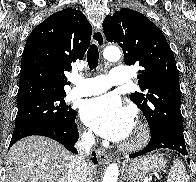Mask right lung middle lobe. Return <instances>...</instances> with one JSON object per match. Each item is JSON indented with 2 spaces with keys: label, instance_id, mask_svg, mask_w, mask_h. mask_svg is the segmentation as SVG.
<instances>
[{
  "label": "right lung middle lobe",
  "instance_id": "1",
  "mask_svg": "<svg viewBox=\"0 0 196 182\" xmlns=\"http://www.w3.org/2000/svg\"><path fill=\"white\" fill-rule=\"evenodd\" d=\"M65 95L47 97L18 104L15 127L37 120H53L71 124L75 120L76 111L67 106Z\"/></svg>",
  "mask_w": 196,
  "mask_h": 182
}]
</instances>
